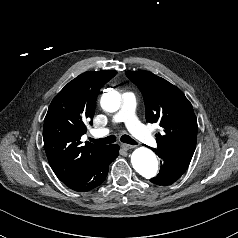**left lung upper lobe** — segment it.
<instances>
[{"label": "left lung upper lobe", "instance_id": "obj_1", "mask_svg": "<svg viewBox=\"0 0 238 238\" xmlns=\"http://www.w3.org/2000/svg\"><path fill=\"white\" fill-rule=\"evenodd\" d=\"M141 90L146 120L159 122L163 131L156 135L157 148L193 156L197 142V119L183 92L149 71H127Z\"/></svg>", "mask_w": 238, "mask_h": 238}]
</instances>
